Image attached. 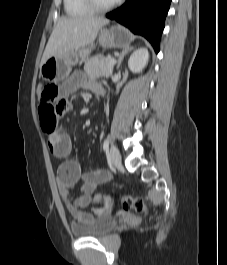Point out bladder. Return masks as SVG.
<instances>
[{"label": "bladder", "mask_w": 227, "mask_h": 265, "mask_svg": "<svg viewBox=\"0 0 227 265\" xmlns=\"http://www.w3.org/2000/svg\"><path fill=\"white\" fill-rule=\"evenodd\" d=\"M115 226L112 216H103L88 223L72 225L71 231L79 238H101L108 234Z\"/></svg>", "instance_id": "31cf9c89"}]
</instances>
